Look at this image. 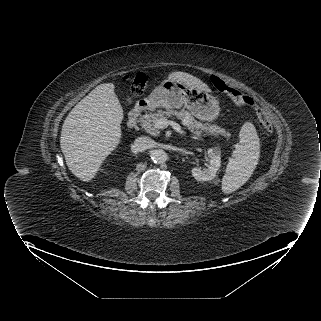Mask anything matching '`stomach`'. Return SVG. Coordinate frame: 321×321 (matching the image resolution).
Listing matches in <instances>:
<instances>
[{
    "mask_svg": "<svg viewBox=\"0 0 321 321\" xmlns=\"http://www.w3.org/2000/svg\"><path fill=\"white\" fill-rule=\"evenodd\" d=\"M146 102L152 109L159 107L180 108L184 105L193 116L208 122L214 121L220 112L217 98L207 91L189 87L169 78L155 87Z\"/></svg>",
    "mask_w": 321,
    "mask_h": 321,
    "instance_id": "obj_1",
    "label": "stomach"
}]
</instances>
